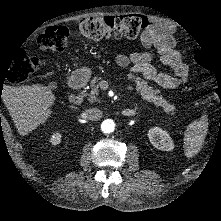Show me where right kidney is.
Returning <instances> with one entry per match:
<instances>
[{
	"mask_svg": "<svg viewBox=\"0 0 221 221\" xmlns=\"http://www.w3.org/2000/svg\"><path fill=\"white\" fill-rule=\"evenodd\" d=\"M64 138V135L62 131L60 130H51L46 137L47 141L51 145H59L61 144L62 140Z\"/></svg>",
	"mask_w": 221,
	"mask_h": 221,
	"instance_id": "obj_1",
	"label": "right kidney"
}]
</instances>
